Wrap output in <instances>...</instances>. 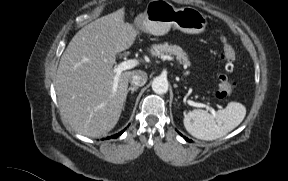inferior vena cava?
I'll list each match as a JSON object with an SVG mask.
<instances>
[{
    "instance_id": "1",
    "label": "inferior vena cava",
    "mask_w": 288,
    "mask_h": 181,
    "mask_svg": "<svg viewBox=\"0 0 288 181\" xmlns=\"http://www.w3.org/2000/svg\"><path fill=\"white\" fill-rule=\"evenodd\" d=\"M147 73L141 70H137L133 73L130 79V83L134 86H143L147 82Z\"/></svg>"
}]
</instances>
